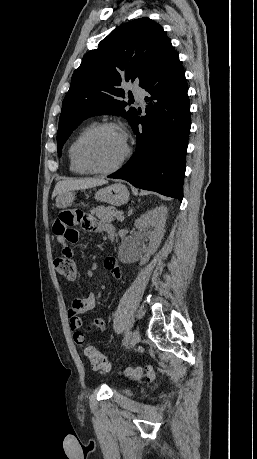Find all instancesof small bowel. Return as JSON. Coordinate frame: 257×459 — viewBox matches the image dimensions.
Wrapping results in <instances>:
<instances>
[{"mask_svg": "<svg viewBox=\"0 0 257 459\" xmlns=\"http://www.w3.org/2000/svg\"><path fill=\"white\" fill-rule=\"evenodd\" d=\"M74 226H85L91 231L114 232L113 226L101 221L100 217H90V213L85 211L84 205H64L63 211H58L57 219L52 221V228L55 236H58L59 242L64 247L63 257L68 258L69 261H78L79 259L78 252L72 247L78 246V241L81 240V233ZM104 266L113 279L117 281L121 279L122 272L114 257H107L104 260ZM95 307L96 295L94 292H89L84 297L75 298L67 311L69 326L73 332V340L81 349H85L87 335V331L83 330L81 316L91 312ZM91 327L101 331H106L107 329L106 322L101 318L95 319Z\"/></svg>", "mask_w": 257, "mask_h": 459, "instance_id": "obj_1", "label": "small bowel"}]
</instances>
